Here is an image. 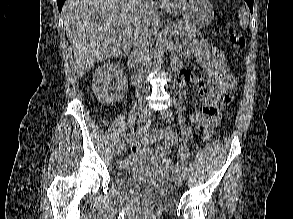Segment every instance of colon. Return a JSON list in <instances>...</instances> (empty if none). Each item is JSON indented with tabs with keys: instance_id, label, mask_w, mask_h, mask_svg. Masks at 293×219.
Wrapping results in <instances>:
<instances>
[{
	"instance_id": "obj_1",
	"label": "colon",
	"mask_w": 293,
	"mask_h": 219,
	"mask_svg": "<svg viewBox=\"0 0 293 219\" xmlns=\"http://www.w3.org/2000/svg\"><path fill=\"white\" fill-rule=\"evenodd\" d=\"M227 35L228 40L231 47L234 50H239L245 46L244 37L235 29V27L231 24L227 25ZM213 57L214 60L221 66L225 67V58L223 52L218 49H213ZM214 128L212 126L205 127L204 130V139L208 140L213 135ZM177 139L172 135L171 131H164L162 133L161 138L159 139L157 150L161 155H168L170 153V149L173 145H175Z\"/></svg>"
}]
</instances>
